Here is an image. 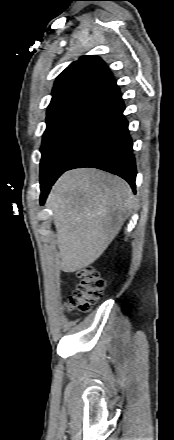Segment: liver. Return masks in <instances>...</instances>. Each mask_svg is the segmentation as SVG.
Returning a JSON list of instances; mask_svg holds the SVG:
<instances>
[{
    "instance_id": "obj_1",
    "label": "liver",
    "mask_w": 174,
    "mask_h": 440,
    "mask_svg": "<svg viewBox=\"0 0 174 440\" xmlns=\"http://www.w3.org/2000/svg\"><path fill=\"white\" fill-rule=\"evenodd\" d=\"M128 183L97 169H75L56 181L47 199L56 228L60 268L92 264L119 233L134 208Z\"/></svg>"
}]
</instances>
